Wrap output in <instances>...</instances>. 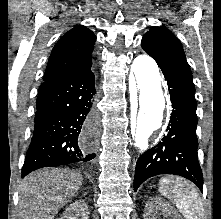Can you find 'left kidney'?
I'll use <instances>...</instances> for the list:
<instances>
[{
	"mask_svg": "<svg viewBox=\"0 0 221 219\" xmlns=\"http://www.w3.org/2000/svg\"><path fill=\"white\" fill-rule=\"evenodd\" d=\"M145 219H158V212H162L166 218L177 219L175 210L161 197H151L146 203Z\"/></svg>",
	"mask_w": 221,
	"mask_h": 219,
	"instance_id": "5707ae66",
	"label": "left kidney"
}]
</instances>
